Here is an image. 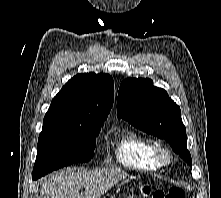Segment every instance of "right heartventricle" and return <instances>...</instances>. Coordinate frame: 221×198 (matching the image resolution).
I'll return each instance as SVG.
<instances>
[{
	"label": "right heart ventricle",
	"mask_w": 221,
	"mask_h": 198,
	"mask_svg": "<svg viewBox=\"0 0 221 198\" xmlns=\"http://www.w3.org/2000/svg\"><path fill=\"white\" fill-rule=\"evenodd\" d=\"M155 142L134 131L123 132L114 144V154L122 166L138 171H157L162 165L154 154Z\"/></svg>",
	"instance_id": "obj_1"
}]
</instances>
